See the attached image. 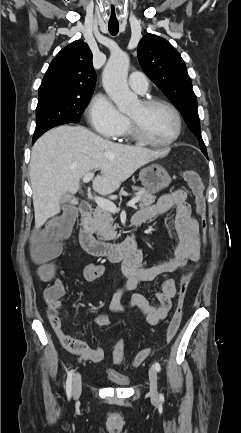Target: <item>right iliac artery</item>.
Returning a JSON list of instances; mask_svg holds the SVG:
<instances>
[{
  "instance_id": "right-iliac-artery-1",
  "label": "right iliac artery",
  "mask_w": 241,
  "mask_h": 433,
  "mask_svg": "<svg viewBox=\"0 0 241 433\" xmlns=\"http://www.w3.org/2000/svg\"><path fill=\"white\" fill-rule=\"evenodd\" d=\"M73 370H70L68 372V376H67V380H66V394L68 396V398L71 397V393H72V376H73Z\"/></svg>"
}]
</instances>
